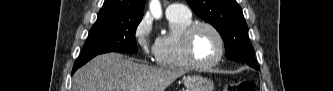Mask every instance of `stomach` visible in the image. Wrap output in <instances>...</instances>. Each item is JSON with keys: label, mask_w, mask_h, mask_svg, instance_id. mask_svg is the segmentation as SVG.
<instances>
[{"label": "stomach", "mask_w": 333, "mask_h": 91, "mask_svg": "<svg viewBox=\"0 0 333 91\" xmlns=\"http://www.w3.org/2000/svg\"><path fill=\"white\" fill-rule=\"evenodd\" d=\"M186 91H212L214 83L203 76H187L183 79Z\"/></svg>", "instance_id": "obj_1"}]
</instances>
